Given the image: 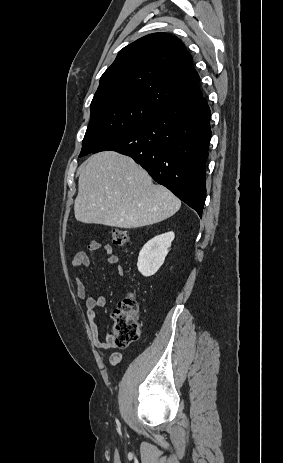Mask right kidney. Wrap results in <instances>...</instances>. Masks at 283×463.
<instances>
[{"label":"right kidney","instance_id":"ca27d5eb","mask_svg":"<svg viewBox=\"0 0 283 463\" xmlns=\"http://www.w3.org/2000/svg\"><path fill=\"white\" fill-rule=\"evenodd\" d=\"M174 237V232H167L155 236L143 246L137 262L138 270L143 276H152L159 270L169 252Z\"/></svg>","mask_w":283,"mask_h":463}]
</instances>
